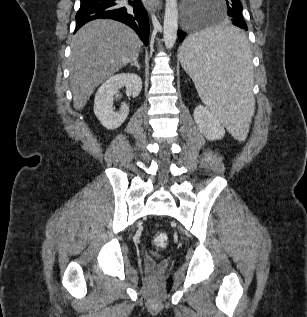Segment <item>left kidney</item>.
Segmentation results:
<instances>
[{"mask_svg": "<svg viewBox=\"0 0 307 317\" xmlns=\"http://www.w3.org/2000/svg\"><path fill=\"white\" fill-rule=\"evenodd\" d=\"M193 116L199 131L208 140H219L224 137V127L206 107L198 105Z\"/></svg>", "mask_w": 307, "mask_h": 317, "instance_id": "5707ae66", "label": "left kidney"}]
</instances>
